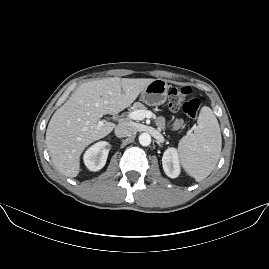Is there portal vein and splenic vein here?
I'll list each match as a JSON object with an SVG mask.
<instances>
[{
    "label": "portal vein and splenic vein",
    "mask_w": 269,
    "mask_h": 269,
    "mask_svg": "<svg viewBox=\"0 0 269 269\" xmlns=\"http://www.w3.org/2000/svg\"><path fill=\"white\" fill-rule=\"evenodd\" d=\"M129 118L132 120H143V119H147L150 120L152 118V112L149 110H135L131 113H129ZM102 123L99 122V125H101ZM191 131H189L188 133H190Z\"/></svg>",
    "instance_id": "1"
}]
</instances>
